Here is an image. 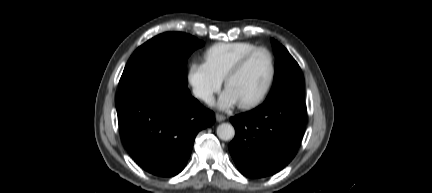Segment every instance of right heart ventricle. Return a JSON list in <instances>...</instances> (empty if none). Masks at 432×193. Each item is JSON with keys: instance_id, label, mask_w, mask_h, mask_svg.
<instances>
[{"instance_id": "obj_1", "label": "right heart ventricle", "mask_w": 432, "mask_h": 193, "mask_svg": "<svg viewBox=\"0 0 432 193\" xmlns=\"http://www.w3.org/2000/svg\"><path fill=\"white\" fill-rule=\"evenodd\" d=\"M255 47L257 44L247 41L214 44L206 51V64L224 80L232 66Z\"/></svg>"}]
</instances>
